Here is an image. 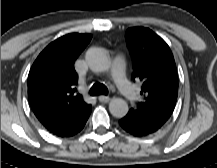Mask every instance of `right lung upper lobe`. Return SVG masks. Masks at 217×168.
I'll use <instances>...</instances> for the list:
<instances>
[{
	"instance_id": "1",
	"label": "right lung upper lobe",
	"mask_w": 217,
	"mask_h": 168,
	"mask_svg": "<svg viewBox=\"0 0 217 168\" xmlns=\"http://www.w3.org/2000/svg\"><path fill=\"white\" fill-rule=\"evenodd\" d=\"M92 38L70 33L50 43L37 57L28 75L31 108L44 127L65 137L83 126L91 105L76 92L74 62Z\"/></svg>"
}]
</instances>
